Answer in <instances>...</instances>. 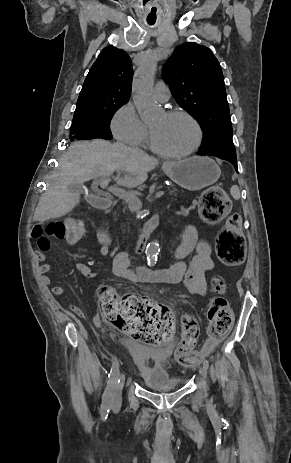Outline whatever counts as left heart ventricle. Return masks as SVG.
Listing matches in <instances>:
<instances>
[{"label": "left heart ventricle", "mask_w": 291, "mask_h": 463, "mask_svg": "<svg viewBox=\"0 0 291 463\" xmlns=\"http://www.w3.org/2000/svg\"><path fill=\"white\" fill-rule=\"evenodd\" d=\"M154 143L162 151L176 153L187 150L195 141V128L184 117L162 114L150 123Z\"/></svg>", "instance_id": "left-heart-ventricle-1"}]
</instances>
